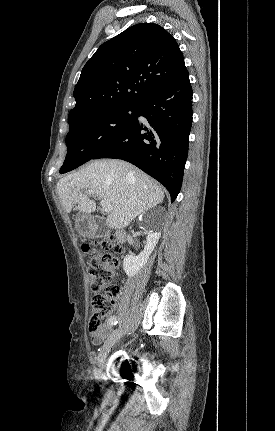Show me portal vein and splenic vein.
<instances>
[{"instance_id":"portal-vein-and-splenic-vein-1","label":"portal vein and splenic vein","mask_w":275,"mask_h":431,"mask_svg":"<svg viewBox=\"0 0 275 431\" xmlns=\"http://www.w3.org/2000/svg\"><path fill=\"white\" fill-rule=\"evenodd\" d=\"M86 193L88 194V195H94V191H92V190H88V191H86ZM101 206H102V208H103V210L105 211V212H111L112 211V205L109 203V202H107V201H105V200H102L101 201Z\"/></svg>"}]
</instances>
